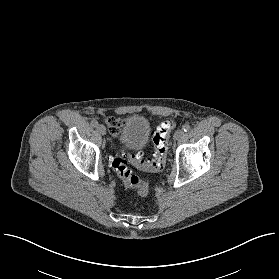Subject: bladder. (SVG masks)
I'll list each match as a JSON object with an SVG mask.
<instances>
[{
	"mask_svg": "<svg viewBox=\"0 0 279 279\" xmlns=\"http://www.w3.org/2000/svg\"><path fill=\"white\" fill-rule=\"evenodd\" d=\"M150 134L148 120L140 115L128 116L119 131L118 137L122 145L133 148H143L147 145Z\"/></svg>",
	"mask_w": 279,
	"mask_h": 279,
	"instance_id": "obj_1",
	"label": "bladder"
}]
</instances>
